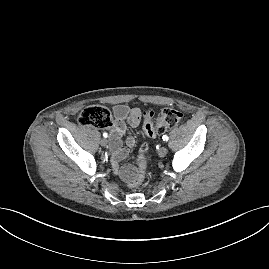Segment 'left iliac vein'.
<instances>
[{"label": "left iliac vein", "instance_id": "1", "mask_svg": "<svg viewBox=\"0 0 269 269\" xmlns=\"http://www.w3.org/2000/svg\"><path fill=\"white\" fill-rule=\"evenodd\" d=\"M167 152H168L167 148L163 146L159 149L158 154L160 157H164L167 154Z\"/></svg>", "mask_w": 269, "mask_h": 269}]
</instances>
